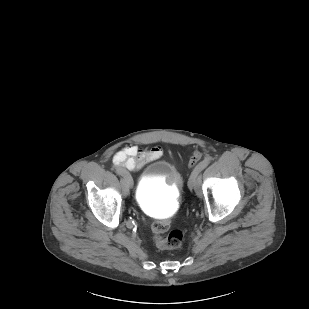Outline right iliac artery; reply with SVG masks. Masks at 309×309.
I'll return each instance as SVG.
<instances>
[{
  "mask_svg": "<svg viewBox=\"0 0 309 309\" xmlns=\"http://www.w3.org/2000/svg\"><path fill=\"white\" fill-rule=\"evenodd\" d=\"M115 171L118 173V175L120 177L124 176L126 179H130L132 177V174L130 172H126V170H124V169L122 170L119 167H115ZM131 185H132V183H131Z\"/></svg>",
  "mask_w": 309,
  "mask_h": 309,
  "instance_id": "right-iliac-artery-1",
  "label": "right iliac artery"
}]
</instances>
